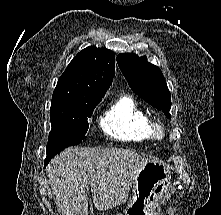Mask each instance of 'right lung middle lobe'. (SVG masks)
Wrapping results in <instances>:
<instances>
[{
    "label": "right lung middle lobe",
    "mask_w": 221,
    "mask_h": 215,
    "mask_svg": "<svg viewBox=\"0 0 221 215\" xmlns=\"http://www.w3.org/2000/svg\"><path fill=\"white\" fill-rule=\"evenodd\" d=\"M100 101L51 105L52 129L46 147L47 157L45 160H51L60 151L77 145L86 138L85 135L89 128L87 120Z\"/></svg>",
    "instance_id": "1"
}]
</instances>
